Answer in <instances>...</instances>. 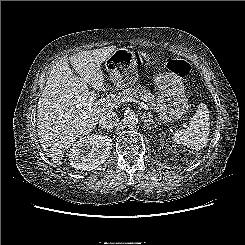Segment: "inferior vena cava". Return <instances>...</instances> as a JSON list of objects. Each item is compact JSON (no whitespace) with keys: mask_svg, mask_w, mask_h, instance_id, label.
Listing matches in <instances>:
<instances>
[{"mask_svg":"<svg viewBox=\"0 0 245 245\" xmlns=\"http://www.w3.org/2000/svg\"><path fill=\"white\" fill-rule=\"evenodd\" d=\"M118 121V115L115 112H111L100 118L99 125L104 129H111L117 125Z\"/></svg>","mask_w":245,"mask_h":245,"instance_id":"obj_1","label":"inferior vena cava"}]
</instances>
